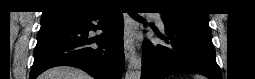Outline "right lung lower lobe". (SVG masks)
Instances as JSON below:
<instances>
[{"instance_id":"right-lung-lower-lobe-1","label":"right lung lower lobe","mask_w":255,"mask_h":79,"mask_svg":"<svg viewBox=\"0 0 255 79\" xmlns=\"http://www.w3.org/2000/svg\"><path fill=\"white\" fill-rule=\"evenodd\" d=\"M95 20L100 26L93 24ZM99 28L104 34L88 37L90 30ZM59 65L81 68L96 79H120L124 65L122 13L94 11L41 25L29 78Z\"/></svg>"}]
</instances>
